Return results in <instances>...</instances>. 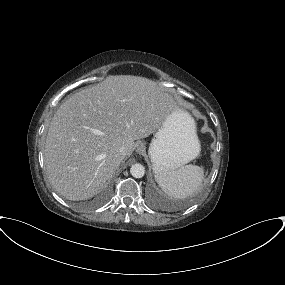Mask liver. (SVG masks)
Masks as SVG:
<instances>
[{"mask_svg":"<svg viewBox=\"0 0 285 285\" xmlns=\"http://www.w3.org/2000/svg\"><path fill=\"white\" fill-rule=\"evenodd\" d=\"M180 111L174 98L152 80L107 77L68 98L54 114L44 149L53 188L69 200L94 196L133 152L134 141L158 131Z\"/></svg>","mask_w":285,"mask_h":285,"instance_id":"6515ba94","label":"liver"}]
</instances>
